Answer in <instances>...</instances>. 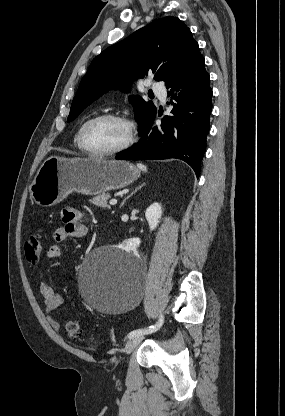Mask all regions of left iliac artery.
Listing matches in <instances>:
<instances>
[{
    "mask_svg": "<svg viewBox=\"0 0 285 416\" xmlns=\"http://www.w3.org/2000/svg\"><path fill=\"white\" fill-rule=\"evenodd\" d=\"M163 321H164V317L161 315L160 318H159V321L154 326L152 325V326H149L148 328H145V329H136L134 331H131L128 334V338H134L136 336H140V335H143V334L153 333V332L158 330L157 327L160 328L162 326Z\"/></svg>",
    "mask_w": 285,
    "mask_h": 416,
    "instance_id": "left-iliac-artery-1",
    "label": "left iliac artery"
}]
</instances>
